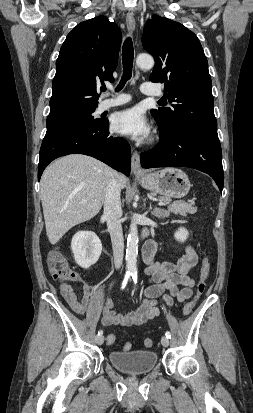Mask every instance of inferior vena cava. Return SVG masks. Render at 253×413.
I'll list each match as a JSON object with an SVG mask.
<instances>
[{
	"label": "inferior vena cava",
	"mask_w": 253,
	"mask_h": 413,
	"mask_svg": "<svg viewBox=\"0 0 253 413\" xmlns=\"http://www.w3.org/2000/svg\"><path fill=\"white\" fill-rule=\"evenodd\" d=\"M121 187L116 177L109 182L104 199V216L107 220V227L111 236L114 265L119 269L123 262L124 240L121 225Z\"/></svg>",
	"instance_id": "obj_1"
}]
</instances>
